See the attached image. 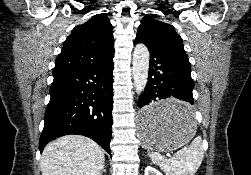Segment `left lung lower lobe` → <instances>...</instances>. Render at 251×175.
<instances>
[{
    "label": "left lung lower lobe",
    "mask_w": 251,
    "mask_h": 175,
    "mask_svg": "<svg viewBox=\"0 0 251 175\" xmlns=\"http://www.w3.org/2000/svg\"><path fill=\"white\" fill-rule=\"evenodd\" d=\"M135 44L144 43L150 51L148 82L138 100L141 108L138 119L144 126L186 122L195 115L191 78V65L176 55L148 46L136 38ZM176 98L187 103L178 105H154V102Z\"/></svg>",
    "instance_id": "1"
}]
</instances>
